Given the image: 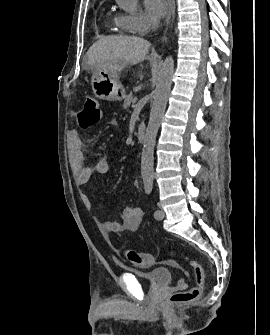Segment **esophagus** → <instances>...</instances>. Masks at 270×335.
Returning a JSON list of instances; mask_svg holds the SVG:
<instances>
[{"mask_svg": "<svg viewBox=\"0 0 270 335\" xmlns=\"http://www.w3.org/2000/svg\"><path fill=\"white\" fill-rule=\"evenodd\" d=\"M173 3H174V0H169L170 8H172ZM170 18H171V10L168 13V17H167L168 21L170 20Z\"/></svg>", "mask_w": 270, "mask_h": 335, "instance_id": "obj_1", "label": "esophagus"}]
</instances>
